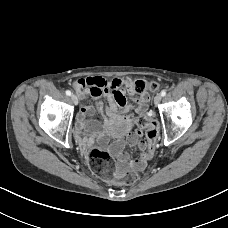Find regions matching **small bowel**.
Masks as SVG:
<instances>
[{
	"mask_svg": "<svg viewBox=\"0 0 228 228\" xmlns=\"http://www.w3.org/2000/svg\"><path fill=\"white\" fill-rule=\"evenodd\" d=\"M75 89L82 100L92 97L95 100L103 99L96 104L95 109L99 112L105 111L104 123L88 121L87 116L94 112V108L82 105L79 108L76 121V136L82 146L90 143L88 133L106 130L108 134L117 139L111 149L116 154L121 168L128 166L143 170L146 166L144 159L128 163L129 154L124 151V142L128 145H138L142 151L146 149V142L142 139L143 131L137 129L130 131L132 121L131 112L135 113L134 119L144 116L147 113L149 96L140 94L137 96L134 82L128 78L105 79L103 77H86L79 79L75 84ZM132 101V103H129Z\"/></svg>",
	"mask_w": 228,
	"mask_h": 228,
	"instance_id": "1",
	"label": "small bowel"
}]
</instances>
